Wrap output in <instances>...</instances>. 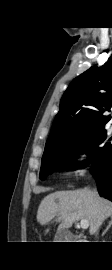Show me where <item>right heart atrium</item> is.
Instances as JSON below:
<instances>
[{
	"mask_svg": "<svg viewBox=\"0 0 112 270\" xmlns=\"http://www.w3.org/2000/svg\"><path fill=\"white\" fill-rule=\"evenodd\" d=\"M90 158L88 151L78 149L72 152L67 161V171L74 177H80L85 174L87 164Z\"/></svg>",
	"mask_w": 112,
	"mask_h": 270,
	"instance_id": "d8ad5b80",
	"label": "right heart atrium"
}]
</instances>
